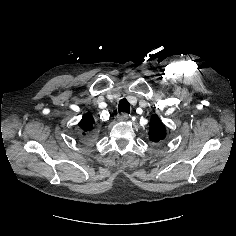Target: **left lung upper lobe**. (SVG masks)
Instances as JSON below:
<instances>
[{
    "label": "left lung upper lobe",
    "mask_w": 236,
    "mask_h": 236,
    "mask_svg": "<svg viewBox=\"0 0 236 236\" xmlns=\"http://www.w3.org/2000/svg\"><path fill=\"white\" fill-rule=\"evenodd\" d=\"M166 128L157 115H153L150 121L149 138L154 142L164 139Z\"/></svg>",
    "instance_id": "obj_1"
}]
</instances>
